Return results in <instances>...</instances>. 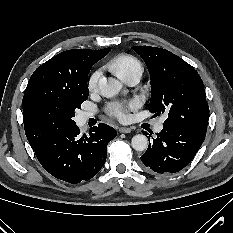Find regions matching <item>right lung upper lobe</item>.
Segmentation results:
<instances>
[{"instance_id":"right-lung-upper-lobe-1","label":"right lung upper lobe","mask_w":233,"mask_h":233,"mask_svg":"<svg viewBox=\"0 0 233 233\" xmlns=\"http://www.w3.org/2000/svg\"><path fill=\"white\" fill-rule=\"evenodd\" d=\"M110 50H67L49 59L34 71L22 101L25 133L33 150L39 149L57 133H44L29 122L27 109L30 100L41 91L65 92L80 88L87 80L92 66Z\"/></svg>"}]
</instances>
